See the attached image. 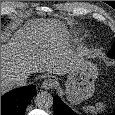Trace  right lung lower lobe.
Masks as SVG:
<instances>
[{
	"instance_id": "98d812e1",
	"label": "right lung lower lobe",
	"mask_w": 115,
	"mask_h": 115,
	"mask_svg": "<svg viewBox=\"0 0 115 115\" xmlns=\"http://www.w3.org/2000/svg\"><path fill=\"white\" fill-rule=\"evenodd\" d=\"M34 85L12 90L1 97V115H24L27 104L35 95Z\"/></svg>"
}]
</instances>
